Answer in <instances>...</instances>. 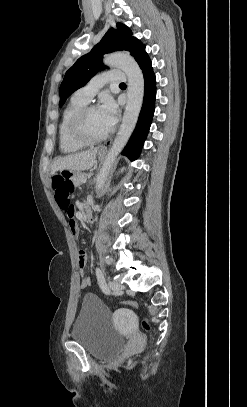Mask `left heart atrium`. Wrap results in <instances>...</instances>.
Here are the masks:
<instances>
[{"label": "left heart atrium", "instance_id": "left-heart-atrium-1", "mask_svg": "<svg viewBox=\"0 0 247 407\" xmlns=\"http://www.w3.org/2000/svg\"><path fill=\"white\" fill-rule=\"evenodd\" d=\"M98 109L107 125L112 128L118 117V107L115 101L110 96H105Z\"/></svg>", "mask_w": 247, "mask_h": 407}]
</instances>
